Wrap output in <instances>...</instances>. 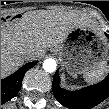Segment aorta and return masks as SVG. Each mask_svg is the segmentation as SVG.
Returning a JSON list of instances; mask_svg holds the SVG:
<instances>
[{
	"mask_svg": "<svg viewBox=\"0 0 109 109\" xmlns=\"http://www.w3.org/2000/svg\"><path fill=\"white\" fill-rule=\"evenodd\" d=\"M56 66H57V64L54 59H46L43 62V69L49 73L54 72L56 70Z\"/></svg>",
	"mask_w": 109,
	"mask_h": 109,
	"instance_id": "obj_1",
	"label": "aorta"
}]
</instances>
